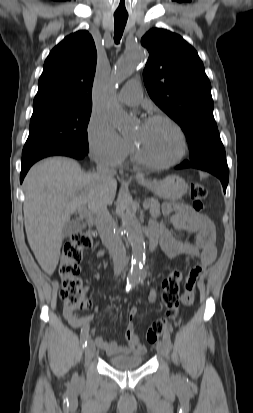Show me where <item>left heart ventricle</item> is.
Wrapping results in <instances>:
<instances>
[{
	"label": "left heart ventricle",
	"instance_id": "obj_1",
	"mask_svg": "<svg viewBox=\"0 0 253 413\" xmlns=\"http://www.w3.org/2000/svg\"><path fill=\"white\" fill-rule=\"evenodd\" d=\"M130 139L145 157L156 162L173 159L180 147L176 132L164 121L138 124L131 132Z\"/></svg>",
	"mask_w": 253,
	"mask_h": 413
}]
</instances>
